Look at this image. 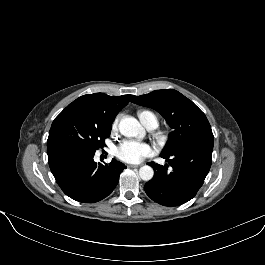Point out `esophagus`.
<instances>
[{
  "instance_id": "obj_1",
  "label": "esophagus",
  "mask_w": 265,
  "mask_h": 265,
  "mask_svg": "<svg viewBox=\"0 0 265 265\" xmlns=\"http://www.w3.org/2000/svg\"><path fill=\"white\" fill-rule=\"evenodd\" d=\"M139 166H141V165H139V164H137V165L129 164V165H128V167H130V168H137V167H139Z\"/></svg>"
}]
</instances>
